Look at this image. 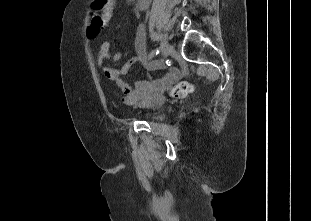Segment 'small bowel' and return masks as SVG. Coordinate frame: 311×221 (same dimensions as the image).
<instances>
[{
	"label": "small bowel",
	"mask_w": 311,
	"mask_h": 221,
	"mask_svg": "<svg viewBox=\"0 0 311 221\" xmlns=\"http://www.w3.org/2000/svg\"><path fill=\"white\" fill-rule=\"evenodd\" d=\"M146 34L143 27H139L135 39V50L137 55L129 59L121 68H113L106 64L107 60L117 63L122 58L120 51L115 52L113 55L110 53H97V66L102 71L104 77L110 81L118 84L122 92V101L126 105L145 104L158 97L160 92L165 86L162 79L158 80H140L128 85L122 81L131 68L146 59L145 49ZM100 46H110L108 40L103 41Z\"/></svg>",
	"instance_id": "c3829d8e"
}]
</instances>
